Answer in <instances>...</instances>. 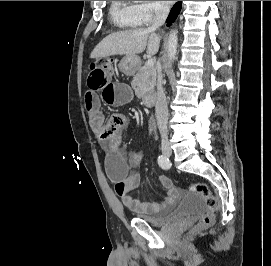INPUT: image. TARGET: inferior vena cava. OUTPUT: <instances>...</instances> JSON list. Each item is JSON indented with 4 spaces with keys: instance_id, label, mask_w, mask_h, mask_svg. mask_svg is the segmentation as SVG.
<instances>
[{
    "instance_id": "inferior-vena-cava-1",
    "label": "inferior vena cava",
    "mask_w": 271,
    "mask_h": 266,
    "mask_svg": "<svg viewBox=\"0 0 271 266\" xmlns=\"http://www.w3.org/2000/svg\"><path fill=\"white\" fill-rule=\"evenodd\" d=\"M169 14V7L165 4L157 3L155 5V16L152 25L148 28L149 31L154 32L165 23ZM155 114L157 119L158 129L162 140L168 138V106L166 101L165 92L162 86V75L158 74L157 80V98L155 104Z\"/></svg>"
}]
</instances>
